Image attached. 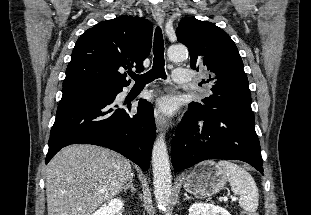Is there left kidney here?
I'll return each mask as SVG.
<instances>
[{"mask_svg": "<svg viewBox=\"0 0 311 215\" xmlns=\"http://www.w3.org/2000/svg\"><path fill=\"white\" fill-rule=\"evenodd\" d=\"M189 215H231L226 209L212 204L195 203L189 208Z\"/></svg>", "mask_w": 311, "mask_h": 215, "instance_id": "obj_1", "label": "left kidney"}]
</instances>
